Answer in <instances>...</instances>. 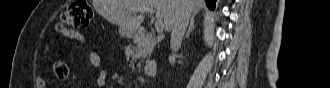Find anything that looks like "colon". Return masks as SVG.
<instances>
[{
    "mask_svg": "<svg viewBox=\"0 0 330 88\" xmlns=\"http://www.w3.org/2000/svg\"><path fill=\"white\" fill-rule=\"evenodd\" d=\"M93 17V11L86 0H78L70 4L62 13L60 22L57 24V32L68 27L86 28L88 27ZM52 74L59 80H64L68 77V65L60 60L53 62L51 67Z\"/></svg>",
    "mask_w": 330,
    "mask_h": 88,
    "instance_id": "colon-1",
    "label": "colon"
}]
</instances>
